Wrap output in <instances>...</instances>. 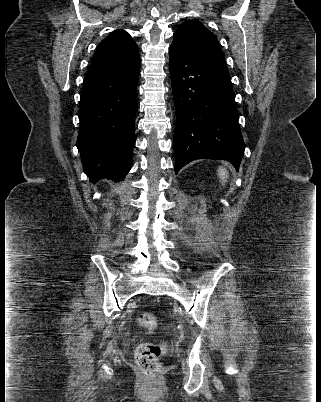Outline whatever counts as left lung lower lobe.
<instances>
[{"mask_svg": "<svg viewBox=\"0 0 321 402\" xmlns=\"http://www.w3.org/2000/svg\"><path fill=\"white\" fill-rule=\"evenodd\" d=\"M169 66L176 109L175 173L199 158L225 159L238 170L245 144L226 63L172 44Z\"/></svg>", "mask_w": 321, "mask_h": 402, "instance_id": "obj_1", "label": "left lung lower lobe"}]
</instances>
